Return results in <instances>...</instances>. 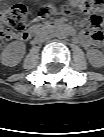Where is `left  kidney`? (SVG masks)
<instances>
[{"label": "left kidney", "mask_w": 104, "mask_h": 137, "mask_svg": "<svg viewBox=\"0 0 104 137\" xmlns=\"http://www.w3.org/2000/svg\"><path fill=\"white\" fill-rule=\"evenodd\" d=\"M88 59L90 63L96 67H100L103 65V56L96 51L89 52Z\"/></svg>", "instance_id": "obj_1"}]
</instances>
